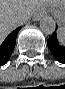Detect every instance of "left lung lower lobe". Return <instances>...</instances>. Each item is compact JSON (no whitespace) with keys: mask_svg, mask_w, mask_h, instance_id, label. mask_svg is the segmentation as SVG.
Listing matches in <instances>:
<instances>
[{"mask_svg":"<svg viewBox=\"0 0 65 89\" xmlns=\"http://www.w3.org/2000/svg\"><path fill=\"white\" fill-rule=\"evenodd\" d=\"M47 45L53 56L61 63L65 64V44H60L57 40L56 32L47 40Z\"/></svg>","mask_w":65,"mask_h":89,"instance_id":"0a47b994","label":"left lung lower lobe"}]
</instances>
